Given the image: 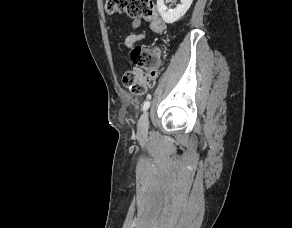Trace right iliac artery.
Returning <instances> with one entry per match:
<instances>
[{"instance_id":"82829eb1","label":"right iliac artery","mask_w":292,"mask_h":228,"mask_svg":"<svg viewBox=\"0 0 292 228\" xmlns=\"http://www.w3.org/2000/svg\"><path fill=\"white\" fill-rule=\"evenodd\" d=\"M150 106V102L149 101H146L143 105V111H146Z\"/></svg>"}]
</instances>
